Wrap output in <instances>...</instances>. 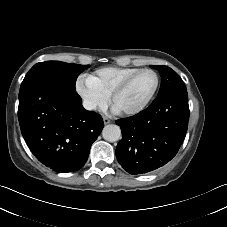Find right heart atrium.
Wrapping results in <instances>:
<instances>
[{"label": "right heart atrium", "mask_w": 227, "mask_h": 227, "mask_svg": "<svg viewBox=\"0 0 227 227\" xmlns=\"http://www.w3.org/2000/svg\"><path fill=\"white\" fill-rule=\"evenodd\" d=\"M76 91L83 100L85 106L92 110L103 109L110 98L88 77H80L76 83Z\"/></svg>", "instance_id": "right-heart-atrium-1"}]
</instances>
